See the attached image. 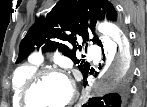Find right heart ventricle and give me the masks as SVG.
I'll use <instances>...</instances> for the list:
<instances>
[{
    "instance_id": "1",
    "label": "right heart ventricle",
    "mask_w": 147,
    "mask_h": 107,
    "mask_svg": "<svg viewBox=\"0 0 147 107\" xmlns=\"http://www.w3.org/2000/svg\"><path fill=\"white\" fill-rule=\"evenodd\" d=\"M40 64L34 60L14 71L11 82V99L14 107H24L21 101L22 91L31 76L40 69Z\"/></svg>"
}]
</instances>
